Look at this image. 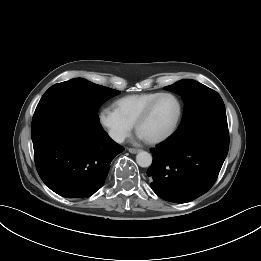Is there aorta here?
<instances>
[{"label": "aorta", "mask_w": 261, "mask_h": 261, "mask_svg": "<svg viewBox=\"0 0 261 261\" xmlns=\"http://www.w3.org/2000/svg\"><path fill=\"white\" fill-rule=\"evenodd\" d=\"M136 162L140 167L147 168L152 164V155L146 151H140L136 156Z\"/></svg>", "instance_id": "aorta-1"}]
</instances>
